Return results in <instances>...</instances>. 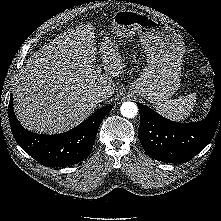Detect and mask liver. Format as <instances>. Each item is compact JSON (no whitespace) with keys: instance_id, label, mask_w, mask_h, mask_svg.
<instances>
[{"instance_id":"obj_1","label":"liver","mask_w":221,"mask_h":221,"mask_svg":"<svg viewBox=\"0 0 221 221\" xmlns=\"http://www.w3.org/2000/svg\"><path fill=\"white\" fill-rule=\"evenodd\" d=\"M94 28L69 29L31 55L13 90L14 110L29 131L57 134L83 122L96 108L92 94L115 92L112 77L123 68L115 41L105 37L100 52L105 74L96 71L98 54ZM106 98V99H107Z\"/></svg>"}]
</instances>
